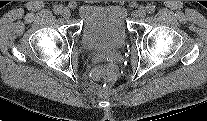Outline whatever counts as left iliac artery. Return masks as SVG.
<instances>
[{"instance_id":"44dca946","label":"left iliac artery","mask_w":207,"mask_h":121,"mask_svg":"<svg viewBox=\"0 0 207 121\" xmlns=\"http://www.w3.org/2000/svg\"><path fill=\"white\" fill-rule=\"evenodd\" d=\"M154 11H155V6L149 4V5L147 6V12L151 14V13H153Z\"/></svg>"}]
</instances>
